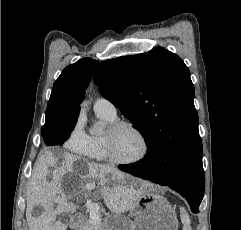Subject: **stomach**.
Returning <instances> with one entry per match:
<instances>
[{"mask_svg":"<svg viewBox=\"0 0 241 230\" xmlns=\"http://www.w3.org/2000/svg\"><path fill=\"white\" fill-rule=\"evenodd\" d=\"M113 179L110 175L109 181ZM130 216L134 218L132 222L113 215L103 227L105 230H178L177 216L167 199L147 185H143V194L130 210Z\"/></svg>","mask_w":241,"mask_h":230,"instance_id":"1","label":"stomach"}]
</instances>
